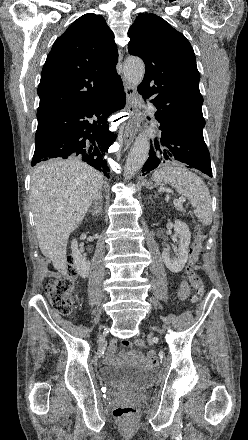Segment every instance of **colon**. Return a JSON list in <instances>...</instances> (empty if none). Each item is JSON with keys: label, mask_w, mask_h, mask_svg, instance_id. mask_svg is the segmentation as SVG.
Here are the masks:
<instances>
[{"label": "colon", "mask_w": 248, "mask_h": 440, "mask_svg": "<svg viewBox=\"0 0 248 440\" xmlns=\"http://www.w3.org/2000/svg\"><path fill=\"white\" fill-rule=\"evenodd\" d=\"M203 230L197 227L195 239L189 249V258L186 272L192 287L195 290L194 301H198L204 293V283L198 274V259L203 249ZM77 281V271L74 265V258L69 256L68 268L65 274L57 279L49 282L47 287V297L57 313L68 316L73 312L74 300L73 292ZM134 344L138 348H144L145 342L141 338H137ZM138 411L136 403L120 404L114 409V415L117 418H126L134 416Z\"/></svg>", "instance_id": "1"}]
</instances>
